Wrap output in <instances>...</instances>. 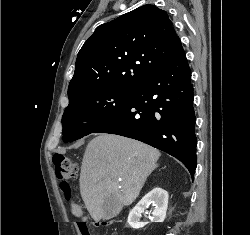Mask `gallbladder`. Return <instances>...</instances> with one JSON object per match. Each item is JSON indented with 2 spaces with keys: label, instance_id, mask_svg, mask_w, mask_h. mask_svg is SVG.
<instances>
[{
  "label": "gallbladder",
  "instance_id": "gallbladder-1",
  "mask_svg": "<svg viewBox=\"0 0 250 235\" xmlns=\"http://www.w3.org/2000/svg\"><path fill=\"white\" fill-rule=\"evenodd\" d=\"M122 209L120 201L115 196H109L103 203V219L109 220L116 217Z\"/></svg>",
  "mask_w": 250,
  "mask_h": 235
}]
</instances>
